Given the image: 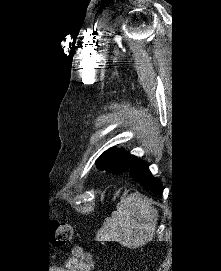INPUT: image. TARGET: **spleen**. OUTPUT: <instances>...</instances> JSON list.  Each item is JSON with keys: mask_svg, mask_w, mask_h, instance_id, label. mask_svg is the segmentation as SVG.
<instances>
[{"mask_svg": "<svg viewBox=\"0 0 221 271\" xmlns=\"http://www.w3.org/2000/svg\"><path fill=\"white\" fill-rule=\"evenodd\" d=\"M158 211L144 195L130 193L117 203L116 211L105 221L97 233L98 241H119L135 249L152 241L157 225Z\"/></svg>", "mask_w": 221, "mask_h": 271, "instance_id": "1", "label": "spleen"}]
</instances>
